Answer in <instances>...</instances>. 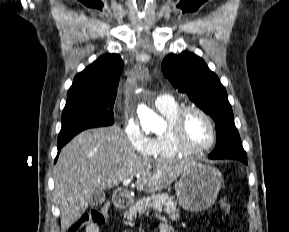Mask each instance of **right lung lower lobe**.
<instances>
[{
  "mask_svg": "<svg viewBox=\"0 0 289 232\" xmlns=\"http://www.w3.org/2000/svg\"><path fill=\"white\" fill-rule=\"evenodd\" d=\"M62 147H63V146H59V147H58V151H60ZM56 159H57V158H56ZM55 161H56V160H55Z\"/></svg>",
  "mask_w": 289,
  "mask_h": 232,
  "instance_id": "98d812e1",
  "label": "right lung lower lobe"
}]
</instances>
